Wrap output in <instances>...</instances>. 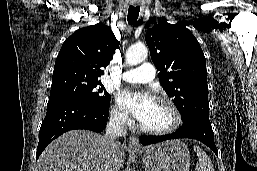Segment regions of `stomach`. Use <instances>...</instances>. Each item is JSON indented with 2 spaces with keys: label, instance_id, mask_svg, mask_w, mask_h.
Wrapping results in <instances>:
<instances>
[{
  "label": "stomach",
  "instance_id": "obj_1",
  "mask_svg": "<svg viewBox=\"0 0 257 171\" xmlns=\"http://www.w3.org/2000/svg\"><path fill=\"white\" fill-rule=\"evenodd\" d=\"M143 165L146 171H189V150L179 140L155 144L143 154Z\"/></svg>",
  "mask_w": 257,
  "mask_h": 171
}]
</instances>
